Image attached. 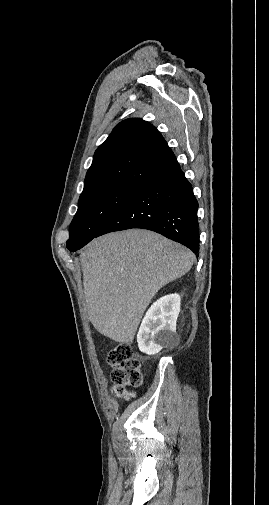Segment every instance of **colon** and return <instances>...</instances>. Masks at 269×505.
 Returning a JSON list of instances; mask_svg holds the SVG:
<instances>
[{
	"label": "colon",
	"instance_id": "obj_1",
	"mask_svg": "<svg viewBox=\"0 0 269 505\" xmlns=\"http://www.w3.org/2000/svg\"><path fill=\"white\" fill-rule=\"evenodd\" d=\"M111 368V381L114 393L120 398L129 399L131 394L126 389L135 387L142 381L141 363L128 343H119L107 354Z\"/></svg>",
	"mask_w": 269,
	"mask_h": 505
}]
</instances>
